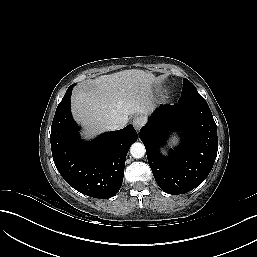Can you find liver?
Here are the masks:
<instances>
[{
	"instance_id": "liver-1",
	"label": "liver",
	"mask_w": 257,
	"mask_h": 257,
	"mask_svg": "<svg viewBox=\"0 0 257 257\" xmlns=\"http://www.w3.org/2000/svg\"><path fill=\"white\" fill-rule=\"evenodd\" d=\"M154 81L153 74L136 69L102 75L72 95L73 117L91 135L131 114H147Z\"/></svg>"
}]
</instances>
